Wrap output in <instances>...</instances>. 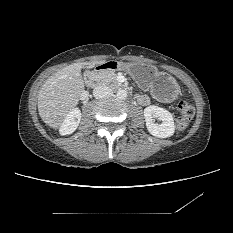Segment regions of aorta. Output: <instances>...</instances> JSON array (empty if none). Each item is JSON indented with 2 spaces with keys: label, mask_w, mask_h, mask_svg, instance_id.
<instances>
[{
  "label": "aorta",
  "mask_w": 233,
  "mask_h": 233,
  "mask_svg": "<svg viewBox=\"0 0 233 233\" xmlns=\"http://www.w3.org/2000/svg\"><path fill=\"white\" fill-rule=\"evenodd\" d=\"M117 97L119 99H125L127 97V91L125 89H119L117 91Z\"/></svg>",
  "instance_id": "aorta-1"
}]
</instances>
